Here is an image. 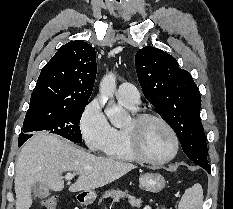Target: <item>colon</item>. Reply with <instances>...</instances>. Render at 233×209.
<instances>
[{
  "label": "colon",
  "instance_id": "obj_1",
  "mask_svg": "<svg viewBox=\"0 0 233 209\" xmlns=\"http://www.w3.org/2000/svg\"><path fill=\"white\" fill-rule=\"evenodd\" d=\"M42 207L44 209H57L58 207V198L55 196L45 198L42 201Z\"/></svg>",
  "mask_w": 233,
  "mask_h": 209
}]
</instances>
